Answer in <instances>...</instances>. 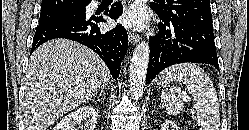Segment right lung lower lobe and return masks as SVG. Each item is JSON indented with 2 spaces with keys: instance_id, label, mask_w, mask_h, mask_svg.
Returning a JSON list of instances; mask_svg holds the SVG:
<instances>
[{
  "instance_id": "1",
  "label": "right lung lower lobe",
  "mask_w": 249,
  "mask_h": 130,
  "mask_svg": "<svg viewBox=\"0 0 249 130\" xmlns=\"http://www.w3.org/2000/svg\"><path fill=\"white\" fill-rule=\"evenodd\" d=\"M122 10L121 3L117 2L106 10L105 14L116 20ZM99 22H106V20L102 16L92 15L39 24L33 38L31 53L44 42L54 38L74 40L96 52L108 66L112 77L117 79L122 59L127 52V32L122 25L103 32L97 26Z\"/></svg>"
}]
</instances>
